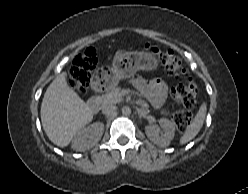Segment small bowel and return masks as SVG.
I'll return each mask as SVG.
<instances>
[{"instance_id": "obj_1", "label": "small bowel", "mask_w": 248, "mask_h": 194, "mask_svg": "<svg viewBox=\"0 0 248 194\" xmlns=\"http://www.w3.org/2000/svg\"><path fill=\"white\" fill-rule=\"evenodd\" d=\"M133 82L143 97L153 106L161 107L166 101L168 86L163 80L136 78Z\"/></svg>"}]
</instances>
